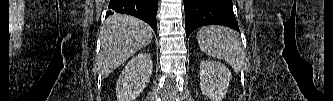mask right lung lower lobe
Masks as SVG:
<instances>
[{
  "label": "right lung lower lobe",
  "mask_w": 333,
  "mask_h": 101,
  "mask_svg": "<svg viewBox=\"0 0 333 101\" xmlns=\"http://www.w3.org/2000/svg\"><path fill=\"white\" fill-rule=\"evenodd\" d=\"M158 0H110L106 17L114 13L129 14L148 23L157 34Z\"/></svg>",
  "instance_id": "right-lung-lower-lobe-1"
}]
</instances>
